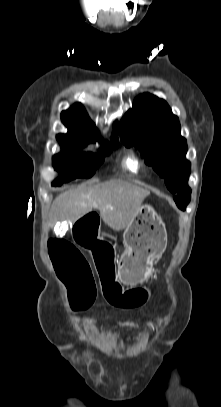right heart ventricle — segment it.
Returning <instances> with one entry per match:
<instances>
[{
    "label": "right heart ventricle",
    "mask_w": 221,
    "mask_h": 407,
    "mask_svg": "<svg viewBox=\"0 0 221 407\" xmlns=\"http://www.w3.org/2000/svg\"><path fill=\"white\" fill-rule=\"evenodd\" d=\"M126 167L132 171V172H137L139 169V163L136 159L133 158H127L125 161Z\"/></svg>",
    "instance_id": "1"
}]
</instances>
